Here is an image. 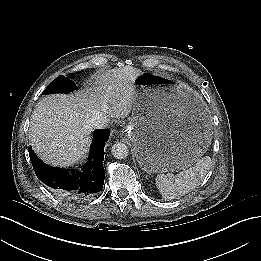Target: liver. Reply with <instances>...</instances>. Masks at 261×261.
Segmentation results:
<instances>
[{
  "label": "liver",
  "mask_w": 261,
  "mask_h": 261,
  "mask_svg": "<svg viewBox=\"0 0 261 261\" xmlns=\"http://www.w3.org/2000/svg\"><path fill=\"white\" fill-rule=\"evenodd\" d=\"M141 73L129 65L114 68L96 76L92 86L76 96L51 94L40 100L30 121V140L38 156L60 167L84 158L93 130L91 116L103 112L110 118L127 117Z\"/></svg>",
  "instance_id": "liver-1"
}]
</instances>
